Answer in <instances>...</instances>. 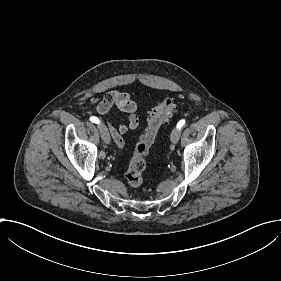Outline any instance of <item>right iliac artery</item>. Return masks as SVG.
Returning a JSON list of instances; mask_svg holds the SVG:
<instances>
[{"mask_svg":"<svg viewBox=\"0 0 281 281\" xmlns=\"http://www.w3.org/2000/svg\"><path fill=\"white\" fill-rule=\"evenodd\" d=\"M90 121L92 122V123H96V124H99V119L97 118V117H95V116H93V117H91L90 118Z\"/></svg>","mask_w":281,"mask_h":281,"instance_id":"82829eb1","label":"right iliac artery"}]
</instances>
